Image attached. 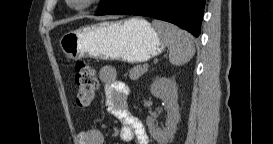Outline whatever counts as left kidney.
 <instances>
[{"mask_svg":"<svg viewBox=\"0 0 273 144\" xmlns=\"http://www.w3.org/2000/svg\"><path fill=\"white\" fill-rule=\"evenodd\" d=\"M151 94L166 103L167 120L166 127L160 129L155 125V118L148 117L146 124L151 137L159 144H166L177 130V123L180 120L178 105V87L176 81L166 78L157 77L151 85Z\"/></svg>","mask_w":273,"mask_h":144,"instance_id":"left-kidney-1","label":"left kidney"}]
</instances>
